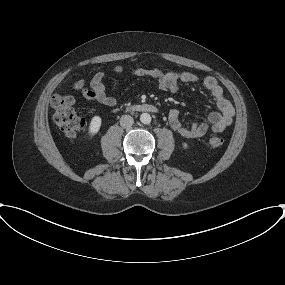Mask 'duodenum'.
Instances as JSON below:
<instances>
[{
	"instance_id": "obj_1",
	"label": "duodenum",
	"mask_w": 285,
	"mask_h": 285,
	"mask_svg": "<svg viewBox=\"0 0 285 285\" xmlns=\"http://www.w3.org/2000/svg\"><path fill=\"white\" fill-rule=\"evenodd\" d=\"M135 109L140 112H156L157 108L151 104H139L135 106Z\"/></svg>"
}]
</instances>
